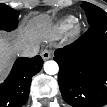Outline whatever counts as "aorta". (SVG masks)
Wrapping results in <instances>:
<instances>
[{"label":"aorta","mask_w":107,"mask_h":107,"mask_svg":"<svg viewBox=\"0 0 107 107\" xmlns=\"http://www.w3.org/2000/svg\"><path fill=\"white\" fill-rule=\"evenodd\" d=\"M44 71L49 75H55L59 71V66L55 61L49 60L44 63Z\"/></svg>","instance_id":"762f6f07"}]
</instances>
